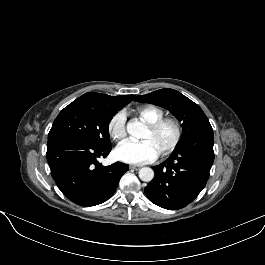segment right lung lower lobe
Here are the masks:
<instances>
[{"mask_svg": "<svg viewBox=\"0 0 265 265\" xmlns=\"http://www.w3.org/2000/svg\"><path fill=\"white\" fill-rule=\"evenodd\" d=\"M112 148L96 146L75 136H56L47 142V161L51 175L61 192L73 203L95 206L115 192L129 166L116 162L102 166Z\"/></svg>", "mask_w": 265, "mask_h": 265, "instance_id": "right-lung-lower-lobe-1", "label": "right lung lower lobe"}]
</instances>
